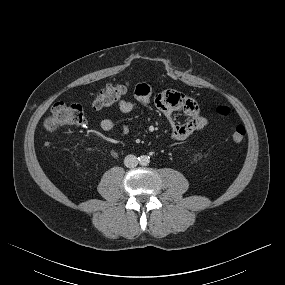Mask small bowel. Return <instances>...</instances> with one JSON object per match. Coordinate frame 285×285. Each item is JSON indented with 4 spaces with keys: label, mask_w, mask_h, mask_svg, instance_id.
Returning <instances> with one entry per match:
<instances>
[{
    "label": "small bowel",
    "mask_w": 285,
    "mask_h": 285,
    "mask_svg": "<svg viewBox=\"0 0 285 285\" xmlns=\"http://www.w3.org/2000/svg\"><path fill=\"white\" fill-rule=\"evenodd\" d=\"M136 101L141 105L154 103L170 123V137L174 141H183L194 132L203 129L208 124V119L201 114L197 102L190 96L174 90L162 91L153 94L150 86L139 83L134 90ZM133 102L122 99L118 103V109L122 113H130L133 110ZM176 111H183L187 116L184 123L178 124L173 115ZM101 129L113 136H124L129 132V127L123 124L119 131L115 130L114 122L109 117H103L100 121Z\"/></svg>",
    "instance_id": "obj_1"
}]
</instances>
